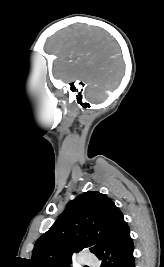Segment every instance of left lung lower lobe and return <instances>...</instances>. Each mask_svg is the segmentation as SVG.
<instances>
[{
  "label": "left lung lower lobe",
  "mask_w": 164,
  "mask_h": 267,
  "mask_svg": "<svg viewBox=\"0 0 164 267\" xmlns=\"http://www.w3.org/2000/svg\"><path fill=\"white\" fill-rule=\"evenodd\" d=\"M133 241L127 223H124L96 254L100 267H135Z\"/></svg>",
  "instance_id": "left-lung-lower-lobe-1"
}]
</instances>
